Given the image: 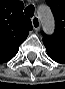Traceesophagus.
<instances>
[{
	"label": "esophagus",
	"instance_id": "34e87169",
	"mask_svg": "<svg viewBox=\"0 0 65 89\" xmlns=\"http://www.w3.org/2000/svg\"><path fill=\"white\" fill-rule=\"evenodd\" d=\"M32 25L34 30L38 31L40 29V20L38 16L32 18Z\"/></svg>",
	"mask_w": 65,
	"mask_h": 89
}]
</instances>
